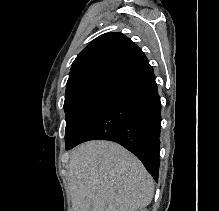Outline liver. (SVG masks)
I'll list each match as a JSON object with an SVG mask.
<instances>
[{"instance_id":"liver-1","label":"liver","mask_w":219,"mask_h":211,"mask_svg":"<svg viewBox=\"0 0 219 211\" xmlns=\"http://www.w3.org/2000/svg\"><path fill=\"white\" fill-rule=\"evenodd\" d=\"M67 179L73 211H139L154 195L153 177L140 159L106 139L73 149Z\"/></svg>"}]
</instances>
